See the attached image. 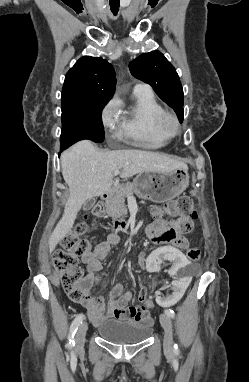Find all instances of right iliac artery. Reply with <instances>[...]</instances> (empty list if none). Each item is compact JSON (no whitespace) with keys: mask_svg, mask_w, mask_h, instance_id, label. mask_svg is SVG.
<instances>
[{"mask_svg":"<svg viewBox=\"0 0 249 382\" xmlns=\"http://www.w3.org/2000/svg\"><path fill=\"white\" fill-rule=\"evenodd\" d=\"M84 318H85L84 314L80 313L73 320L70 326L69 335H68V346L73 347L75 345L74 336H75V333L77 332L78 327L80 326V324H82V321L84 320Z\"/></svg>","mask_w":249,"mask_h":382,"instance_id":"obj_1","label":"right iliac artery"}]
</instances>
